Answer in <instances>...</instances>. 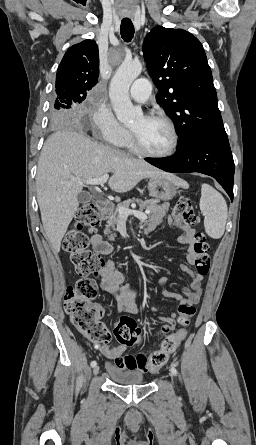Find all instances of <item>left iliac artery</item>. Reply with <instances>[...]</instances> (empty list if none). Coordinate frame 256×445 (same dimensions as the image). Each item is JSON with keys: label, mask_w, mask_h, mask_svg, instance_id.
<instances>
[{"label": "left iliac artery", "mask_w": 256, "mask_h": 445, "mask_svg": "<svg viewBox=\"0 0 256 445\" xmlns=\"http://www.w3.org/2000/svg\"><path fill=\"white\" fill-rule=\"evenodd\" d=\"M171 372H172L174 375L177 374V370H176V368H175L173 365H171Z\"/></svg>", "instance_id": "left-iliac-artery-1"}]
</instances>
